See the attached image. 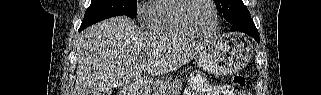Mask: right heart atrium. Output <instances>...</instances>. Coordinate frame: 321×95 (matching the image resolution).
<instances>
[{"instance_id":"right-heart-atrium-1","label":"right heart atrium","mask_w":321,"mask_h":95,"mask_svg":"<svg viewBox=\"0 0 321 95\" xmlns=\"http://www.w3.org/2000/svg\"><path fill=\"white\" fill-rule=\"evenodd\" d=\"M150 5H151V1H146L138 4L136 13H137V17L140 20H145L148 18Z\"/></svg>"}]
</instances>
